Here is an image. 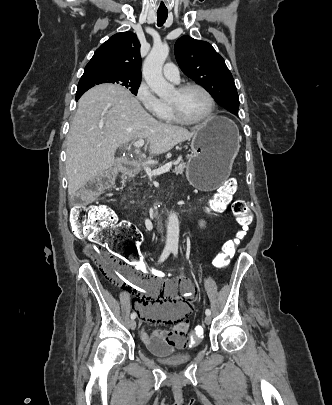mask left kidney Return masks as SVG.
<instances>
[{
	"label": "left kidney",
	"instance_id": "5707ae66",
	"mask_svg": "<svg viewBox=\"0 0 332 405\" xmlns=\"http://www.w3.org/2000/svg\"><path fill=\"white\" fill-rule=\"evenodd\" d=\"M199 225H200V227H204L205 222H204V221H200Z\"/></svg>",
	"mask_w": 332,
	"mask_h": 405
}]
</instances>
